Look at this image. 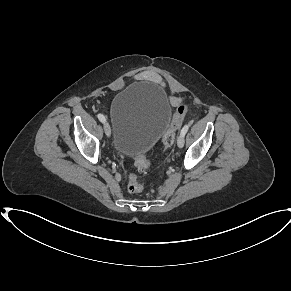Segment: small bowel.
I'll return each instance as SVG.
<instances>
[{
  "label": "small bowel",
  "mask_w": 291,
  "mask_h": 291,
  "mask_svg": "<svg viewBox=\"0 0 291 291\" xmlns=\"http://www.w3.org/2000/svg\"><path fill=\"white\" fill-rule=\"evenodd\" d=\"M134 79L135 80L149 81V82L161 85V86L165 85V82L162 79V77L158 73L151 71V70L138 72L137 74H135ZM180 102H181L180 97L170 96V103L173 107L177 106Z\"/></svg>",
  "instance_id": "small-bowel-1"
}]
</instances>
